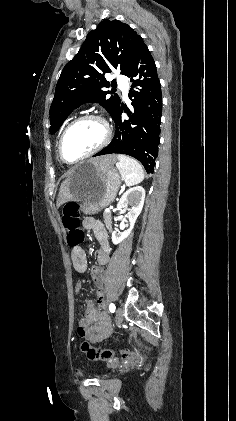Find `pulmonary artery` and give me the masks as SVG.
I'll list each match as a JSON object with an SVG mask.
<instances>
[{
    "label": "pulmonary artery",
    "mask_w": 236,
    "mask_h": 421,
    "mask_svg": "<svg viewBox=\"0 0 236 421\" xmlns=\"http://www.w3.org/2000/svg\"><path fill=\"white\" fill-rule=\"evenodd\" d=\"M116 84L118 85V86H125L126 84H127V79L125 78V77H118L117 79H116ZM122 93H123V97L127 100L128 98H127V88H124L123 90H122Z\"/></svg>",
    "instance_id": "1"
}]
</instances>
